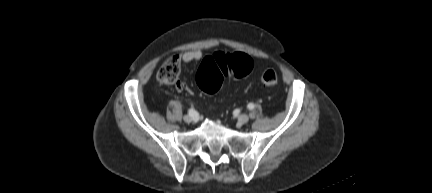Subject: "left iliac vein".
Here are the masks:
<instances>
[{"mask_svg":"<svg viewBox=\"0 0 432 193\" xmlns=\"http://www.w3.org/2000/svg\"><path fill=\"white\" fill-rule=\"evenodd\" d=\"M249 121V116L247 114H241L238 116V122L240 124H245Z\"/></svg>","mask_w":432,"mask_h":193,"instance_id":"1","label":"left iliac vein"}]
</instances>
